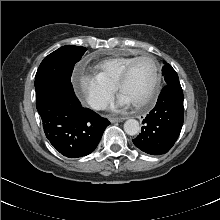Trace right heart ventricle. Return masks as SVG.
Wrapping results in <instances>:
<instances>
[{"mask_svg":"<svg viewBox=\"0 0 220 220\" xmlns=\"http://www.w3.org/2000/svg\"><path fill=\"white\" fill-rule=\"evenodd\" d=\"M134 58H136V56H116L108 58L94 64L93 71L99 78L116 87L124 69Z\"/></svg>","mask_w":220,"mask_h":220,"instance_id":"obj_1","label":"right heart ventricle"}]
</instances>
